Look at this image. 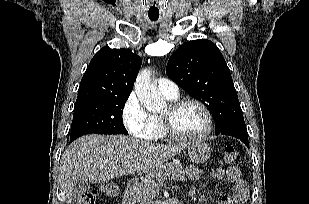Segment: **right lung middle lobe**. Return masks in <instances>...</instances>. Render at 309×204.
Returning <instances> with one entry per match:
<instances>
[{
    "label": "right lung middle lobe",
    "mask_w": 309,
    "mask_h": 204,
    "mask_svg": "<svg viewBox=\"0 0 309 204\" xmlns=\"http://www.w3.org/2000/svg\"><path fill=\"white\" fill-rule=\"evenodd\" d=\"M129 96H107L76 103L70 140L89 134H128L122 112Z\"/></svg>",
    "instance_id": "right-lung-middle-lobe-1"
}]
</instances>
